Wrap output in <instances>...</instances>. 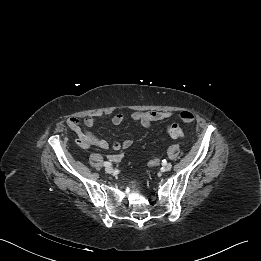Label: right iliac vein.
I'll use <instances>...</instances> for the list:
<instances>
[{"instance_id":"1","label":"right iliac vein","mask_w":261,"mask_h":261,"mask_svg":"<svg viewBox=\"0 0 261 261\" xmlns=\"http://www.w3.org/2000/svg\"><path fill=\"white\" fill-rule=\"evenodd\" d=\"M106 173L111 174L113 172V168L111 166H108L105 168Z\"/></svg>"}]
</instances>
